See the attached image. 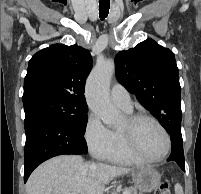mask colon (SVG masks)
Masks as SVG:
<instances>
[{
    "instance_id": "colon-1",
    "label": "colon",
    "mask_w": 201,
    "mask_h": 194,
    "mask_svg": "<svg viewBox=\"0 0 201 194\" xmlns=\"http://www.w3.org/2000/svg\"><path fill=\"white\" fill-rule=\"evenodd\" d=\"M155 194H171L169 185L167 183H161L157 187Z\"/></svg>"
}]
</instances>
